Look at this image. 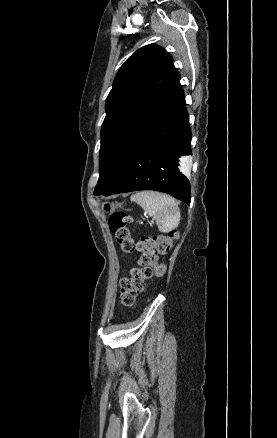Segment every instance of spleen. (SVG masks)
I'll return each mask as SVG.
<instances>
[{
	"label": "spleen",
	"mask_w": 277,
	"mask_h": 438,
	"mask_svg": "<svg viewBox=\"0 0 277 438\" xmlns=\"http://www.w3.org/2000/svg\"><path fill=\"white\" fill-rule=\"evenodd\" d=\"M149 216H153L160 232H171L180 224L179 208L173 198L159 192H138L131 196Z\"/></svg>",
	"instance_id": "1"
}]
</instances>
